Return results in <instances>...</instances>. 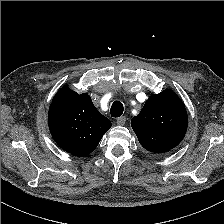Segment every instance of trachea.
<instances>
[{"instance_id": "3493384b", "label": "trachea", "mask_w": 224, "mask_h": 224, "mask_svg": "<svg viewBox=\"0 0 224 224\" xmlns=\"http://www.w3.org/2000/svg\"><path fill=\"white\" fill-rule=\"evenodd\" d=\"M123 110H124L123 104L119 101H115L111 106L110 114L112 117L117 118L123 114Z\"/></svg>"}]
</instances>
